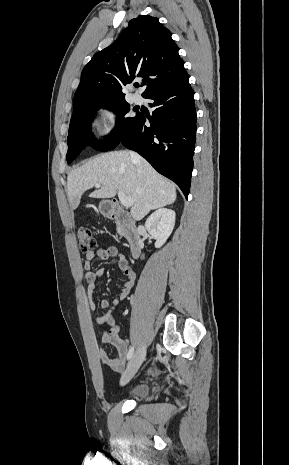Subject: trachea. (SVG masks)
<instances>
[{"label": "trachea", "mask_w": 289, "mask_h": 465, "mask_svg": "<svg viewBox=\"0 0 289 465\" xmlns=\"http://www.w3.org/2000/svg\"><path fill=\"white\" fill-rule=\"evenodd\" d=\"M138 86H139V84H136V87H138Z\"/></svg>", "instance_id": "trachea-1"}]
</instances>
